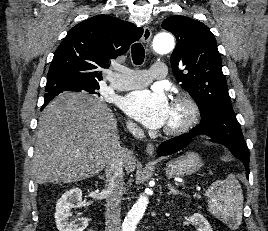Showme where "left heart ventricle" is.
Wrapping results in <instances>:
<instances>
[{
    "label": "left heart ventricle",
    "mask_w": 268,
    "mask_h": 231,
    "mask_svg": "<svg viewBox=\"0 0 268 231\" xmlns=\"http://www.w3.org/2000/svg\"><path fill=\"white\" fill-rule=\"evenodd\" d=\"M184 115L185 113L180 106H171L165 126H175L179 124L183 120Z\"/></svg>",
    "instance_id": "left-heart-ventricle-1"
}]
</instances>
